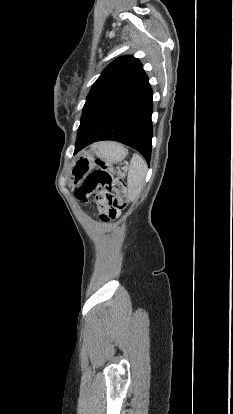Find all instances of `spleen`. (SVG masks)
I'll list each match as a JSON object with an SVG mask.
<instances>
[{
	"label": "spleen",
	"instance_id": "obj_1",
	"mask_svg": "<svg viewBox=\"0 0 233 414\" xmlns=\"http://www.w3.org/2000/svg\"><path fill=\"white\" fill-rule=\"evenodd\" d=\"M146 173L147 164L144 159L138 154H133L127 177L128 197L131 201H135L139 198Z\"/></svg>",
	"mask_w": 233,
	"mask_h": 414
}]
</instances>
